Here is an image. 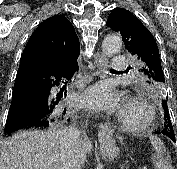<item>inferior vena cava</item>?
I'll return each mask as SVG.
<instances>
[{"mask_svg": "<svg viewBox=\"0 0 177 169\" xmlns=\"http://www.w3.org/2000/svg\"><path fill=\"white\" fill-rule=\"evenodd\" d=\"M81 132L76 128H65L60 132V169H81L79 160Z\"/></svg>", "mask_w": 177, "mask_h": 169, "instance_id": "inferior-vena-cava-1", "label": "inferior vena cava"}]
</instances>
